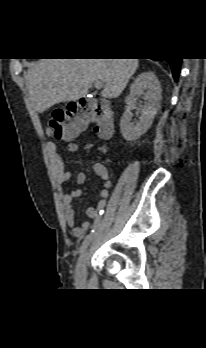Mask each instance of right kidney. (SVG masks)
I'll return each mask as SVG.
<instances>
[{
    "mask_svg": "<svg viewBox=\"0 0 206 348\" xmlns=\"http://www.w3.org/2000/svg\"><path fill=\"white\" fill-rule=\"evenodd\" d=\"M144 92L145 105L139 120L133 123L131 110L136 108V101ZM161 93L160 82L154 72H143L136 77L126 97L127 108L120 120V130L125 140L135 141L150 128L160 107Z\"/></svg>",
    "mask_w": 206,
    "mask_h": 348,
    "instance_id": "obj_1",
    "label": "right kidney"
}]
</instances>
